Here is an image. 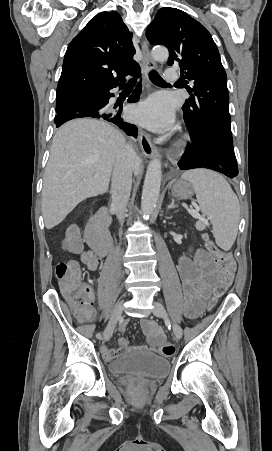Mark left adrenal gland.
Returning <instances> with one entry per match:
<instances>
[{
  "instance_id": "left-adrenal-gland-1",
  "label": "left adrenal gland",
  "mask_w": 272,
  "mask_h": 451,
  "mask_svg": "<svg viewBox=\"0 0 272 451\" xmlns=\"http://www.w3.org/2000/svg\"><path fill=\"white\" fill-rule=\"evenodd\" d=\"M174 202L175 200H172L170 206H168V210H170V208H178V206H175Z\"/></svg>"
}]
</instances>
